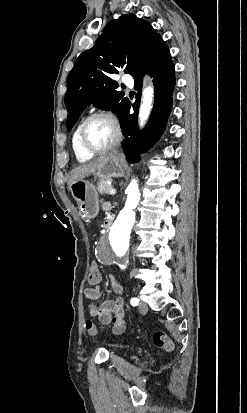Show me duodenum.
Segmentation results:
<instances>
[{
  "instance_id": "obj_1",
  "label": "duodenum",
  "mask_w": 247,
  "mask_h": 413,
  "mask_svg": "<svg viewBox=\"0 0 247 413\" xmlns=\"http://www.w3.org/2000/svg\"><path fill=\"white\" fill-rule=\"evenodd\" d=\"M111 224H112L111 220H106L104 224V228L109 229L111 227Z\"/></svg>"
}]
</instances>
